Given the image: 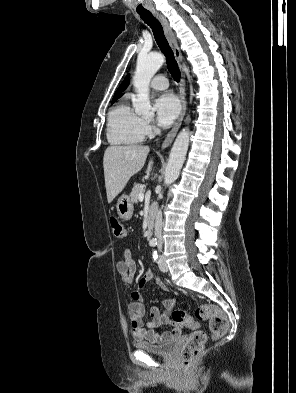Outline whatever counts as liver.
Instances as JSON below:
<instances>
[{"mask_svg":"<svg viewBox=\"0 0 296 393\" xmlns=\"http://www.w3.org/2000/svg\"><path fill=\"white\" fill-rule=\"evenodd\" d=\"M149 150L148 146L141 145L109 146L105 150L103 167L108 203H111L129 179L143 168ZM152 166L153 160H150L147 174Z\"/></svg>","mask_w":296,"mask_h":393,"instance_id":"6515ba94","label":"liver"}]
</instances>
